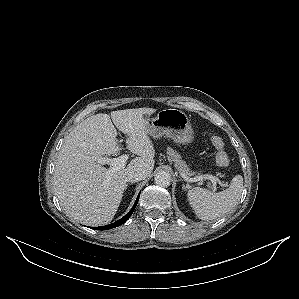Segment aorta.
I'll list each match as a JSON object with an SVG mask.
<instances>
[{"label":"aorta","instance_id":"obj_1","mask_svg":"<svg viewBox=\"0 0 299 299\" xmlns=\"http://www.w3.org/2000/svg\"><path fill=\"white\" fill-rule=\"evenodd\" d=\"M154 181L158 186L168 187L171 183V175L165 171H159L154 177Z\"/></svg>","mask_w":299,"mask_h":299}]
</instances>
